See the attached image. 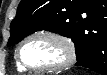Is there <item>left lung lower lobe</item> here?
I'll return each mask as SVG.
<instances>
[{
  "instance_id": "0a47b994",
  "label": "left lung lower lobe",
  "mask_w": 107,
  "mask_h": 75,
  "mask_svg": "<svg viewBox=\"0 0 107 75\" xmlns=\"http://www.w3.org/2000/svg\"><path fill=\"white\" fill-rule=\"evenodd\" d=\"M87 4L95 7L93 17L96 16L99 20L107 22V0H87ZM86 27V25L83 27L85 32H87ZM82 39L85 41L84 53L77 58L76 65L107 75V38L83 36Z\"/></svg>"
}]
</instances>
